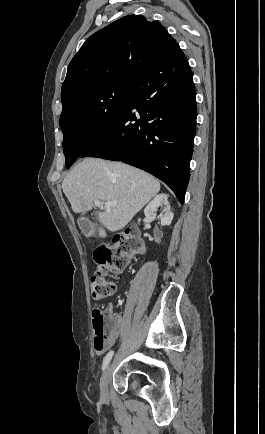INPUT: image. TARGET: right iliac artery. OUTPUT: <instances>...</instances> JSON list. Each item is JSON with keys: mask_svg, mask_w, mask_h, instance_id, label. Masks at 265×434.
<instances>
[{"mask_svg": "<svg viewBox=\"0 0 265 434\" xmlns=\"http://www.w3.org/2000/svg\"><path fill=\"white\" fill-rule=\"evenodd\" d=\"M113 354H114V351L111 350V351H109V352L107 353V355L104 357V359H103V365H102V370H105V368L107 367L108 363L110 362V360H111Z\"/></svg>", "mask_w": 265, "mask_h": 434, "instance_id": "obj_1", "label": "right iliac artery"}]
</instances>
